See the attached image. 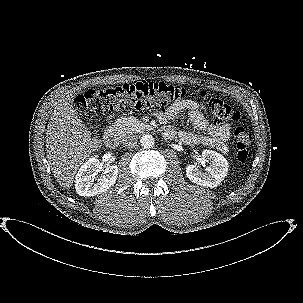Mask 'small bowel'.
<instances>
[{
	"label": "small bowel",
	"instance_id": "c3829d8e",
	"mask_svg": "<svg viewBox=\"0 0 303 303\" xmlns=\"http://www.w3.org/2000/svg\"><path fill=\"white\" fill-rule=\"evenodd\" d=\"M156 118L164 125L168 124L171 120L188 118L196 130L206 132L207 134L201 135L189 131H180L178 135L184 143L215 148L222 153L228 151L229 125L211 123L206 116L205 107L195 100L182 99L176 101L165 111L158 112ZM164 133L165 136L170 138L175 135V130L171 126H166Z\"/></svg>",
	"mask_w": 303,
	"mask_h": 303
}]
</instances>
